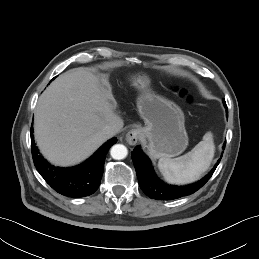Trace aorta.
Wrapping results in <instances>:
<instances>
[{
  "instance_id": "762f6f07",
  "label": "aorta",
  "mask_w": 259,
  "mask_h": 259,
  "mask_svg": "<svg viewBox=\"0 0 259 259\" xmlns=\"http://www.w3.org/2000/svg\"><path fill=\"white\" fill-rule=\"evenodd\" d=\"M110 154L113 159L121 160L127 156L128 150L124 145L116 144V145L112 146Z\"/></svg>"
}]
</instances>
